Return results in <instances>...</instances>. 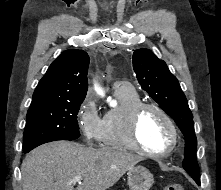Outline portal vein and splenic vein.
<instances>
[{"instance_id": "portal-vein-and-splenic-vein-1", "label": "portal vein and splenic vein", "mask_w": 221, "mask_h": 190, "mask_svg": "<svg viewBox=\"0 0 221 190\" xmlns=\"http://www.w3.org/2000/svg\"><path fill=\"white\" fill-rule=\"evenodd\" d=\"M82 180V177L81 176H75L72 180V182H80Z\"/></svg>"}]
</instances>
